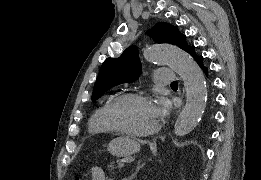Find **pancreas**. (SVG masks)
<instances>
[{
	"instance_id": "1",
	"label": "pancreas",
	"mask_w": 261,
	"mask_h": 180,
	"mask_svg": "<svg viewBox=\"0 0 261 180\" xmlns=\"http://www.w3.org/2000/svg\"><path fill=\"white\" fill-rule=\"evenodd\" d=\"M115 159H110L108 162H106V169L107 170H116Z\"/></svg>"
}]
</instances>
